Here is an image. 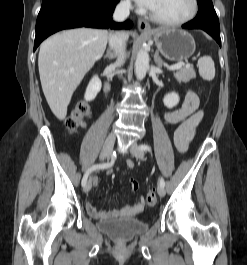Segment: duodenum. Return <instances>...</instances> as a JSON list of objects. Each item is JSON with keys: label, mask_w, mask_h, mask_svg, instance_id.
<instances>
[{"label": "duodenum", "mask_w": 247, "mask_h": 265, "mask_svg": "<svg viewBox=\"0 0 247 265\" xmlns=\"http://www.w3.org/2000/svg\"><path fill=\"white\" fill-rule=\"evenodd\" d=\"M104 90H105V94H108V92H109V90H110V84H109L108 82L105 83Z\"/></svg>", "instance_id": "410a0bca"}]
</instances>
